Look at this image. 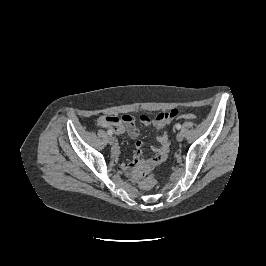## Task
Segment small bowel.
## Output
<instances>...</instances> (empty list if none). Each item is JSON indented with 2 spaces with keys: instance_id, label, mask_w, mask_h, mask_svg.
Returning a JSON list of instances; mask_svg holds the SVG:
<instances>
[{
  "instance_id": "obj_1",
  "label": "small bowel",
  "mask_w": 266,
  "mask_h": 266,
  "mask_svg": "<svg viewBox=\"0 0 266 266\" xmlns=\"http://www.w3.org/2000/svg\"><path fill=\"white\" fill-rule=\"evenodd\" d=\"M178 116V110L172 109L167 112L158 114L154 119H150L147 116H142L141 120L144 123L152 124L158 130L165 128L173 119ZM98 124L101 127L111 128L117 133L127 132L128 135L137 139L139 131L135 125V116L127 114L122 118L102 116L98 119ZM158 147L155 149V156L150 159H143V146L144 144L140 140H136V152L135 159L132 162L124 163L122 165L123 170L131 176L132 179L138 180L144 174L150 172L154 167L162 163L169 150V139L166 131H161L157 135ZM120 152L119 146L113 147L114 157H118Z\"/></svg>"
}]
</instances>
